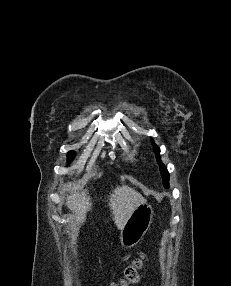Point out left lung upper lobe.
<instances>
[{
  "mask_svg": "<svg viewBox=\"0 0 231 286\" xmlns=\"http://www.w3.org/2000/svg\"><path fill=\"white\" fill-rule=\"evenodd\" d=\"M153 146L155 147L154 148V152L156 154L157 162H158V164L160 166V172H161V175H162L163 184H164L165 187H169V173H168L166 167L161 163V160H160L161 157L159 155V153H160L159 148L156 147L154 142H153Z\"/></svg>",
  "mask_w": 231,
  "mask_h": 286,
  "instance_id": "5c2ea615",
  "label": "left lung upper lobe"
}]
</instances>
